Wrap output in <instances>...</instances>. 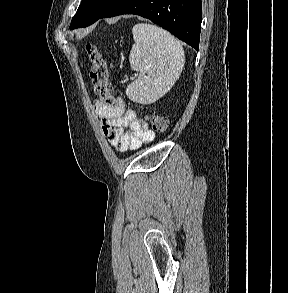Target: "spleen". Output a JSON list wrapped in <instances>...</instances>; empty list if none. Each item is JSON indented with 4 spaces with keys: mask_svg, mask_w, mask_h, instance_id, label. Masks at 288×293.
<instances>
[{
    "mask_svg": "<svg viewBox=\"0 0 288 293\" xmlns=\"http://www.w3.org/2000/svg\"><path fill=\"white\" fill-rule=\"evenodd\" d=\"M135 44L129 55L130 66L138 71L126 95L138 103H152L164 96L179 78L185 63L180 42L166 30L147 23L133 29Z\"/></svg>",
    "mask_w": 288,
    "mask_h": 293,
    "instance_id": "3e777b00",
    "label": "spleen"
}]
</instances>
